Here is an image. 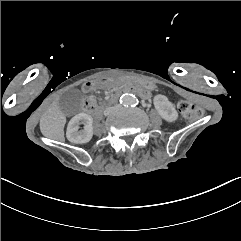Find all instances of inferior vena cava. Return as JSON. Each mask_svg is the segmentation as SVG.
I'll return each mask as SVG.
<instances>
[{
  "label": "inferior vena cava",
  "mask_w": 241,
  "mask_h": 241,
  "mask_svg": "<svg viewBox=\"0 0 241 241\" xmlns=\"http://www.w3.org/2000/svg\"><path fill=\"white\" fill-rule=\"evenodd\" d=\"M111 108H108L104 111V115L107 116L110 114Z\"/></svg>",
  "instance_id": "602c4592"
}]
</instances>
